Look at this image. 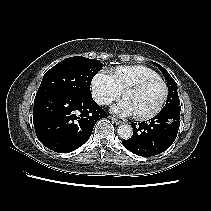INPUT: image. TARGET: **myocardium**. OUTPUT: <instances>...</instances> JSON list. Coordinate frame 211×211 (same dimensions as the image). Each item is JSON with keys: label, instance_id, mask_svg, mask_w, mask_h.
Wrapping results in <instances>:
<instances>
[{"label": "myocardium", "instance_id": "myocardium-1", "mask_svg": "<svg viewBox=\"0 0 211 211\" xmlns=\"http://www.w3.org/2000/svg\"><path fill=\"white\" fill-rule=\"evenodd\" d=\"M154 82H159L163 86V97H162L159 105L157 106V108L155 110H153L152 112H150L148 114H144V115L134 114V117L139 121L150 120V119L156 117L158 114H160V112L163 110V108L167 102L168 95H169L167 83L161 77H150V78H145V79L139 80L124 89L123 96L125 97L127 92L140 90Z\"/></svg>", "mask_w": 211, "mask_h": 211}]
</instances>
